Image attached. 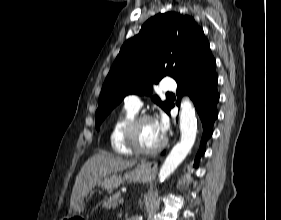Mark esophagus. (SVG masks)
I'll return each mask as SVG.
<instances>
[{
  "instance_id": "esophagus-1",
  "label": "esophagus",
  "mask_w": 281,
  "mask_h": 220,
  "mask_svg": "<svg viewBox=\"0 0 281 220\" xmlns=\"http://www.w3.org/2000/svg\"><path fill=\"white\" fill-rule=\"evenodd\" d=\"M157 166H158L157 161H152V162H150V163L147 165V167H148L149 169H156Z\"/></svg>"
}]
</instances>
